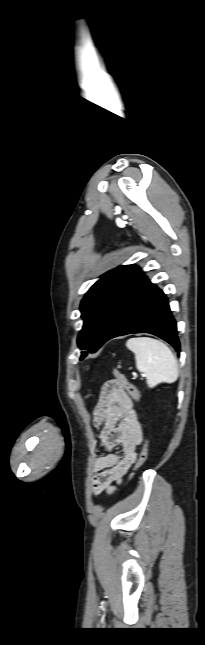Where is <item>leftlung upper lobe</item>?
<instances>
[{
    "instance_id": "obj_1",
    "label": "left lung upper lobe",
    "mask_w": 205,
    "mask_h": 645,
    "mask_svg": "<svg viewBox=\"0 0 205 645\" xmlns=\"http://www.w3.org/2000/svg\"><path fill=\"white\" fill-rule=\"evenodd\" d=\"M134 267L135 265H125L107 272L84 296L80 306L84 325L78 336L81 350L92 353L102 346L113 305ZM86 355L87 352L83 351L81 359Z\"/></svg>"
}]
</instances>
